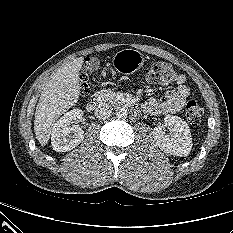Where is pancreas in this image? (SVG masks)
I'll return each mask as SVG.
<instances>
[{
	"mask_svg": "<svg viewBox=\"0 0 233 233\" xmlns=\"http://www.w3.org/2000/svg\"><path fill=\"white\" fill-rule=\"evenodd\" d=\"M95 96L103 101V102H107L110 104H113L115 102H117V95L115 92L111 91V90H101L95 93Z\"/></svg>",
	"mask_w": 233,
	"mask_h": 233,
	"instance_id": "1",
	"label": "pancreas"
}]
</instances>
